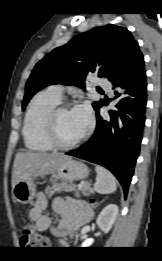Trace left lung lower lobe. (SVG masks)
<instances>
[{"label": "left lung lower lobe", "instance_id": "0a47b994", "mask_svg": "<svg viewBox=\"0 0 162 261\" xmlns=\"http://www.w3.org/2000/svg\"><path fill=\"white\" fill-rule=\"evenodd\" d=\"M116 110L110 119L96 112L97 126L93 136L79 149L67 152L109 169L119 180L127 196L136 160L140 153L147 102L144 59L112 82Z\"/></svg>", "mask_w": 162, "mask_h": 261}]
</instances>
